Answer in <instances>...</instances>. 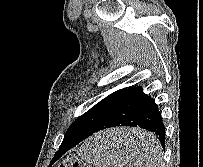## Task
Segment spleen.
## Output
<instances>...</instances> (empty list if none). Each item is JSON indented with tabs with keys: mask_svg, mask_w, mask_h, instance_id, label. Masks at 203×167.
<instances>
[{
	"mask_svg": "<svg viewBox=\"0 0 203 167\" xmlns=\"http://www.w3.org/2000/svg\"><path fill=\"white\" fill-rule=\"evenodd\" d=\"M144 148L139 152L140 167H163L162 147L156 137L146 132L139 139ZM113 140L107 135L97 134L80 149V155L95 167H124L126 162L118 160L113 153Z\"/></svg>",
	"mask_w": 203,
	"mask_h": 167,
	"instance_id": "3e777b00",
	"label": "spleen"
}]
</instances>
